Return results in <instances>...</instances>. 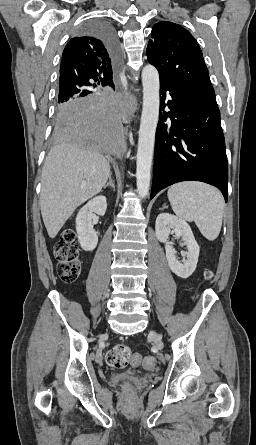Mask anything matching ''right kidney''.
<instances>
[{"label": "right kidney", "instance_id": "ca27d5eb", "mask_svg": "<svg viewBox=\"0 0 256 445\" xmlns=\"http://www.w3.org/2000/svg\"><path fill=\"white\" fill-rule=\"evenodd\" d=\"M107 209L105 196H97L83 206L76 217V231L83 250L92 251L98 243V236L93 229L92 219L95 214L103 216Z\"/></svg>", "mask_w": 256, "mask_h": 445}]
</instances>
